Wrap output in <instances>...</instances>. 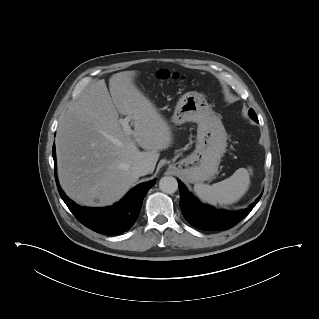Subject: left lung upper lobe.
Segmentation results:
<instances>
[{"instance_id": "1", "label": "left lung upper lobe", "mask_w": 319, "mask_h": 319, "mask_svg": "<svg viewBox=\"0 0 319 319\" xmlns=\"http://www.w3.org/2000/svg\"><path fill=\"white\" fill-rule=\"evenodd\" d=\"M249 114H250V116H251L254 120L257 119L256 114H255V112L253 111V109H250V110H249Z\"/></svg>"}]
</instances>
